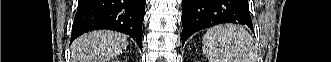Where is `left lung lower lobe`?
Here are the masks:
<instances>
[{
  "instance_id": "obj_1",
  "label": "left lung lower lobe",
  "mask_w": 331,
  "mask_h": 62,
  "mask_svg": "<svg viewBox=\"0 0 331 62\" xmlns=\"http://www.w3.org/2000/svg\"><path fill=\"white\" fill-rule=\"evenodd\" d=\"M182 47L193 33L222 23L253 28L247 0H182Z\"/></svg>"
}]
</instances>
